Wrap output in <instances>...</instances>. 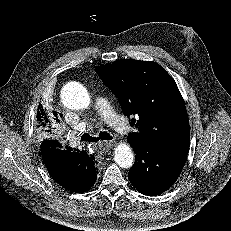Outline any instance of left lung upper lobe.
I'll list each match as a JSON object with an SVG mask.
<instances>
[{
	"instance_id": "obj_1",
	"label": "left lung upper lobe",
	"mask_w": 231,
	"mask_h": 231,
	"mask_svg": "<svg viewBox=\"0 0 231 231\" xmlns=\"http://www.w3.org/2000/svg\"><path fill=\"white\" fill-rule=\"evenodd\" d=\"M116 95L136 132L127 137L132 146H149L170 155H187L189 119L174 79L153 61L121 59L95 69Z\"/></svg>"
}]
</instances>
